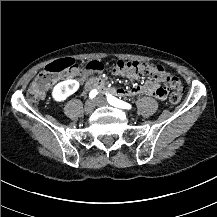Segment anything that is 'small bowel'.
<instances>
[{
    "label": "small bowel",
    "mask_w": 217,
    "mask_h": 217,
    "mask_svg": "<svg viewBox=\"0 0 217 217\" xmlns=\"http://www.w3.org/2000/svg\"><path fill=\"white\" fill-rule=\"evenodd\" d=\"M80 74L79 69L73 70L71 74H65L61 77L73 78ZM115 75H121L119 73H114ZM115 94L119 96H133L141 93L150 94L156 98H162L165 95L164 89H158L153 82L146 83L140 86H134L132 88H122L117 87L114 89Z\"/></svg>",
    "instance_id": "c3829d8e"
}]
</instances>
